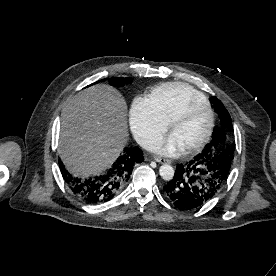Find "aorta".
<instances>
[{"mask_svg": "<svg viewBox=\"0 0 276 276\" xmlns=\"http://www.w3.org/2000/svg\"><path fill=\"white\" fill-rule=\"evenodd\" d=\"M174 168L171 165L164 164L159 169V174L164 180H171L174 177Z\"/></svg>", "mask_w": 276, "mask_h": 276, "instance_id": "1", "label": "aorta"}]
</instances>
